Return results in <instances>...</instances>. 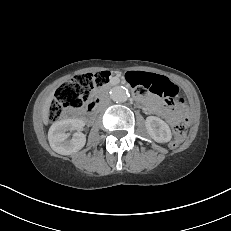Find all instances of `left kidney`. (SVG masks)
<instances>
[{"instance_id":"5707ae66","label":"left kidney","mask_w":231,"mask_h":231,"mask_svg":"<svg viewBox=\"0 0 231 231\" xmlns=\"http://www.w3.org/2000/svg\"><path fill=\"white\" fill-rule=\"evenodd\" d=\"M146 129L151 138L158 143H167L171 140L172 134L169 126L162 119L149 116L145 121Z\"/></svg>"}]
</instances>
